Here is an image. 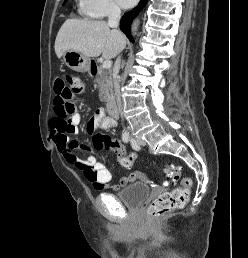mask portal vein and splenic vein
I'll return each instance as SVG.
<instances>
[{
    "label": "portal vein and splenic vein",
    "mask_w": 248,
    "mask_h": 258,
    "mask_svg": "<svg viewBox=\"0 0 248 258\" xmlns=\"http://www.w3.org/2000/svg\"><path fill=\"white\" fill-rule=\"evenodd\" d=\"M111 65H112V62H111L110 60H105V61L103 62V64H102V67H103L104 69H109V68L111 67Z\"/></svg>",
    "instance_id": "1"
}]
</instances>
